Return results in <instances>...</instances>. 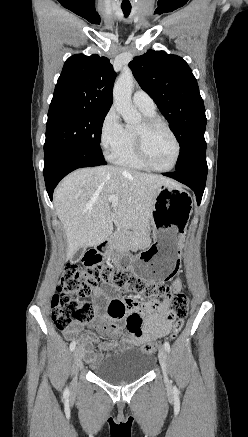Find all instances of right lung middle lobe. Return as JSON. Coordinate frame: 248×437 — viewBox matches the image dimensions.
Listing matches in <instances>:
<instances>
[{
	"mask_svg": "<svg viewBox=\"0 0 248 437\" xmlns=\"http://www.w3.org/2000/svg\"><path fill=\"white\" fill-rule=\"evenodd\" d=\"M107 113L71 104H50L44 153L57 147H73L103 158L100 139Z\"/></svg>",
	"mask_w": 248,
	"mask_h": 437,
	"instance_id": "right-lung-middle-lobe-1",
	"label": "right lung middle lobe"
}]
</instances>
